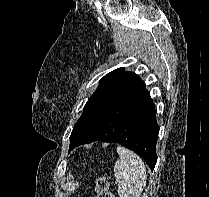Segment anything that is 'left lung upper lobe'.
Segmentation results:
<instances>
[{"mask_svg":"<svg viewBox=\"0 0 209 197\" xmlns=\"http://www.w3.org/2000/svg\"><path fill=\"white\" fill-rule=\"evenodd\" d=\"M139 81L141 80L137 74L125 72L124 68H118L105 75L100 80L99 87L88 99L81 117L72 130L69 149L82 137L109 105Z\"/></svg>","mask_w":209,"mask_h":197,"instance_id":"1","label":"left lung upper lobe"}]
</instances>
